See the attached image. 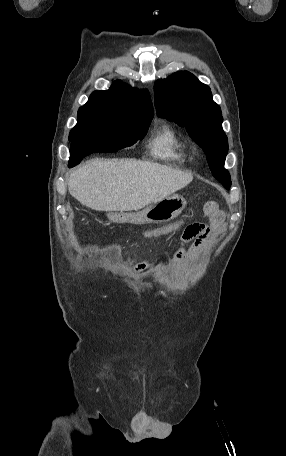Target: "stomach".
Returning <instances> with one entry per match:
<instances>
[{"label":"stomach","mask_w":286,"mask_h":456,"mask_svg":"<svg viewBox=\"0 0 286 456\" xmlns=\"http://www.w3.org/2000/svg\"><path fill=\"white\" fill-rule=\"evenodd\" d=\"M187 202L181 195L172 194L166 198L152 203L142 211L139 216L144 223H164L177 217L185 208Z\"/></svg>","instance_id":"0dacf381"}]
</instances>
